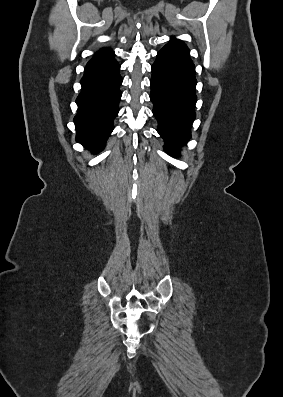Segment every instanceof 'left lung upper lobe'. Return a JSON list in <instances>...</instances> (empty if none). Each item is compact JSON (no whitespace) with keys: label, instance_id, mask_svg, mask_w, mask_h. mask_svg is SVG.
<instances>
[{"label":"left lung upper lobe","instance_id":"obj_1","mask_svg":"<svg viewBox=\"0 0 283 397\" xmlns=\"http://www.w3.org/2000/svg\"><path fill=\"white\" fill-rule=\"evenodd\" d=\"M168 44L174 46L175 48H177L178 50L189 56L190 51L188 47L181 40H177L174 37H172V39L169 41Z\"/></svg>","mask_w":283,"mask_h":397}]
</instances>
